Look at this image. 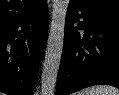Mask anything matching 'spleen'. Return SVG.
<instances>
[{
    "label": "spleen",
    "mask_w": 119,
    "mask_h": 95,
    "mask_svg": "<svg viewBox=\"0 0 119 95\" xmlns=\"http://www.w3.org/2000/svg\"><path fill=\"white\" fill-rule=\"evenodd\" d=\"M78 95H119V89L108 85H98L86 88Z\"/></svg>",
    "instance_id": "obj_1"
}]
</instances>
